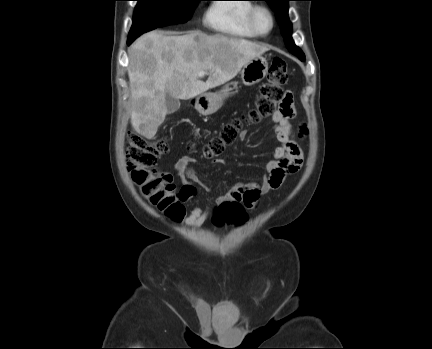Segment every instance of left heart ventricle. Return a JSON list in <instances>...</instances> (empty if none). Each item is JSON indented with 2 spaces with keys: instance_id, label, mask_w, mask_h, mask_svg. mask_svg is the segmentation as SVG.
<instances>
[{
  "instance_id": "left-heart-ventricle-1",
  "label": "left heart ventricle",
  "mask_w": 432,
  "mask_h": 349,
  "mask_svg": "<svg viewBox=\"0 0 432 349\" xmlns=\"http://www.w3.org/2000/svg\"><path fill=\"white\" fill-rule=\"evenodd\" d=\"M256 22H257L258 28L263 32L268 31V29L270 28V25H271L270 18L268 17V15L265 12H259L257 14Z\"/></svg>"
}]
</instances>
